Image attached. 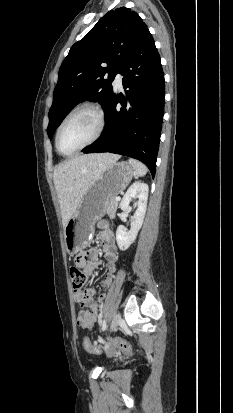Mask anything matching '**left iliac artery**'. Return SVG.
<instances>
[{"label": "left iliac artery", "instance_id": "left-iliac-artery-1", "mask_svg": "<svg viewBox=\"0 0 233 413\" xmlns=\"http://www.w3.org/2000/svg\"><path fill=\"white\" fill-rule=\"evenodd\" d=\"M101 323H102V330L104 331L107 327L106 321L103 320V321H101Z\"/></svg>", "mask_w": 233, "mask_h": 413}]
</instances>
